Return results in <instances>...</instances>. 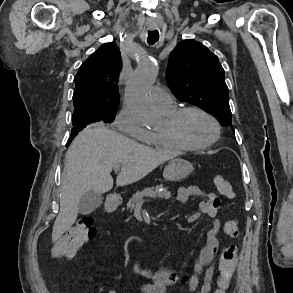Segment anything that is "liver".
I'll return each instance as SVG.
<instances>
[{"label": "liver", "instance_id": "1", "mask_svg": "<svg viewBox=\"0 0 293 293\" xmlns=\"http://www.w3.org/2000/svg\"><path fill=\"white\" fill-rule=\"evenodd\" d=\"M175 156L177 153L156 151L102 125L82 130L66 153V175L52 240L57 241L75 223L78 204L84 194L89 191L102 194L112 189V169L121 167L116 185L126 186L141 180Z\"/></svg>", "mask_w": 293, "mask_h": 293}]
</instances>
